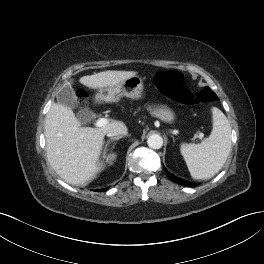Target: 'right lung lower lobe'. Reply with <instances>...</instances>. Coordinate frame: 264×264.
<instances>
[{"mask_svg": "<svg viewBox=\"0 0 264 264\" xmlns=\"http://www.w3.org/2000/svg\"><path fill=\"white\" fill-rule=\"evenodd\" d=\"M108 188H105V189H103V190H101V191H106Z\"/></svg>", "mask_w": 264, "mask_h": 264, "instance_id": "1", "label": "right lung lower lobe"}]
</instances>
